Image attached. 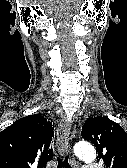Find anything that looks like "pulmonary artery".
I'll use <instances>...</instances> for the list:
<instances>
[{"mask_svg":"<svg viewBox=\"0 0 127 168\" xmlns=\"http://www.w3.org/2000/svg\"><path fill=\"white\" fill-rule=\"evenodd\" d=\"M83 168H100V166L98 164L88 163V164L84 165Z\"/></svg>","mask_w":127,"mask_h":168,"instance_id":"e3ab8cb5","label":"pulmonary artery"}]
</instances>
